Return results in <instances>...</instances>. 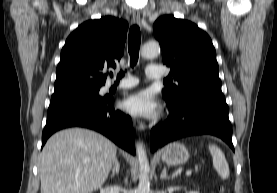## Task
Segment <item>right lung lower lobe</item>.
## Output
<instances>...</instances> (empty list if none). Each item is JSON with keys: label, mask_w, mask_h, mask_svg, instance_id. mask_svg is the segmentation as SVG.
<instances>
[{"label": "right lung lower lobe", "mask_w": 277, "mask_h": 193, "mask_svg": "<svg viewBox=\"0 0 277 193\" xmlns=\"http://www.w3.org/2000/svg\"><path fill=\"white\" fill-rule=\"evenodd\" d=\"M111 96L98 92H54L42 134V147L56 131L68 127H86L110 138L118 146L135 154L134 130L131 118L115 110Z\"/></svg>", "instance_id": "obj_1"}]
</instances>
